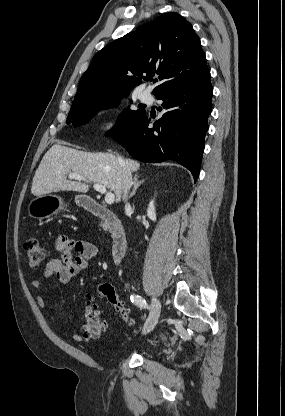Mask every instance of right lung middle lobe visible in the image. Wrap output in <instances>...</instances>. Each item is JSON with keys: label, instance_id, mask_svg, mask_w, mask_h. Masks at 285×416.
Instances as JSON below:
<instances>
[{"label": "right lung middle lobe", "instance_id": "1", "mask_svg": "<svg viewBox=\"0 0 285 416\" xmlns=\"http://www.w3.org/2000/svg\"><path fill=\"white\" fill-rule=\"evenodd\" d=\"M120 98L103 100L90 104L89 106L83 107L81 109L72 110L69 112L67 117V123H72L73 126H79L87 123L95 112H98L105 108L115 107L120 103ZM132 103V101H130ZM140 107V106H139ZM142 109V107H140ZM146 114L145 110H130L129 108L125 109L121 116L119 117L118 125L108 132V135L115 136L131 125L136 123Z\"/></svg>", "mask_w": 285, "mask_h": 416}]
</instances>
